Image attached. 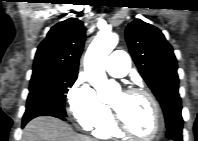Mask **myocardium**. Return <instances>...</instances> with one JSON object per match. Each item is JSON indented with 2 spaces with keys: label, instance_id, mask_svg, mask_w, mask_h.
Returning a JSON list of instances; mask_svg holds the SVG:
<instances>
[{
  "label": "myocardium",
  "instance_id": "1",
  "mask_svg": "<svg viewBox=\"0 0 198 141\" xmlns=\"http://www.w3.org/2000/svg\"><path fill=\"white\" fill-rule=\"evenodd\" d=\"M125 93L140 94V95H143L149 99V101L153 107V111H154L155 131L149 137H141V136L135 134L124 124L119 113L111 106L112 119H113L114 125L117 128V130L119 132H121L122 134H125L131 138L141 140V141H154L157 138H159V136L161 135L163 128H164V121H163V115H162L160 105H159L157 99L154 97V95L152 93H150L148 90H146L144 88H140V87L129 88L125 91Z\"/></svg>",
  "mask_w": 198,
  "mask_h": 141
}]
</instances>
